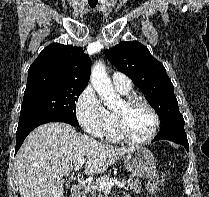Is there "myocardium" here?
Returning <instances> with one entry per match:
<instances>
[{
    "label": "myocardium",
    "instance_id": "f54148a6",
    "mask_svg": "<svg viewBox=\"0 0 209 197\" xmlns=\"http://www.w3.org/2000/svg\"><path fill=\"white\" fill-rule=\"evenodd\" d=\"M123 103L127 107H131L137 103H142L143 105H145L153 115L154 124H153V128H152L150 134L146 138L135 139L128 134L123 116L121 114L115 112L114 115H115L116 129H117V132H118L120 138L122 140H124L125 142L132 144V145L149 144L157 136V133H158V130L160 127V117H159L157 110L154 108V106L147 99H145L142 96L135 95V94L127 96L124 99Z\"/></svg>",
    "mask_w": 209,
    "mask_h": 197
}]
</instances>
